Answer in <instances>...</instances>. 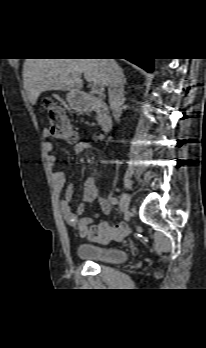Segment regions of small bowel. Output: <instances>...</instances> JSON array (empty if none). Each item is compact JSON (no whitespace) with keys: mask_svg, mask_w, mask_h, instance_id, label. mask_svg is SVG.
Masks as SVG:
<instances>
[{"mask_svg":"<svg viewBox=\"0 0 206 348\" xmlns=\"http://www.w3.org/2000/svg\"><path fill=\"white\" fill-rule=\"evenodd\" d=\"M42 136L44 139H48L50 136V132L48 129H44L42 132ZM90 149V144L87 142H76L74 144V152L77 157L81 156L85 151ZM44 150L47 153V161L49 166L52 169V178L54 182V186L58 191L64 190V198L61 200L60 208L63 215V218L67 225L77 231L79 233H83V231L93 224L94 219L92 217H81V215L86 210V204L94 201L99 198L97 186L95 184V179L93 177H89L84 180L82 184V193L80 200L81 202L74 206L73 202L75 200V187L73 185H69L65 188V177L62 172L55 170L56 167V157L53 155L54 146L51 142L46 141L44 143ZM101 210L105 214H109L111 212L112 206L111 203L103 198H99Z\"/></svg>","mask_w":206,"mask_h":348,"instance_id":"obj_1","label":"small bowel"}]
</instances>
